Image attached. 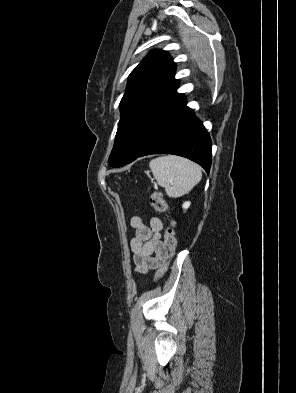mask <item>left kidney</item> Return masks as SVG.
<instances>
[{"label":"left kidney","instance_id":"left-kidney-1","mask_svg":"<svg viewBox=\"0 0 296 393\" xmlns=\"http://www.w3.org/2000/svg\"><path fill=\"white\" fill-rule=\"evenodd\" d=\"M190 205H191V203L189 201H187V202L183 203L182 207L184 210H187L190 207Z\"/></svg>","mask_w":296,"mask_h":393}]
</instances>
